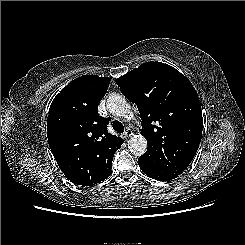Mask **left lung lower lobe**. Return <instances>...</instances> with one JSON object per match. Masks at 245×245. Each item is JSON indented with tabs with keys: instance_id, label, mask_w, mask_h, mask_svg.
Returning <instances> with one entry per match:
<instances>
[{
	"instance_id": "0a47b994",
	"label": "left lung lower lobe",
	"mask_w": 245,
	"mask_h": 245,
	"mask_svg": "<svg viewBox=\"0 0 245 245\" xmlns=\"http://www.w3.org/2000/svg\"><path fill=\"white\" fill-rule=\"evenodd\" d=\"M138 164L140 166V169L147 174L149 177L159 180V181H169L172 179H175L178 177L177 174L169 173V172H164L162 170L150 167L148 165H145L141 162L138 161Z\"/></svg>"
}]
</instances>
